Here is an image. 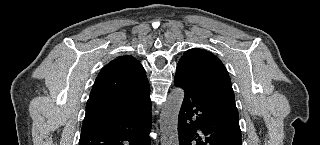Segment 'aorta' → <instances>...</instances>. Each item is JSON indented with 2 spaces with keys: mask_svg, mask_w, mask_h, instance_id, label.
I'll return each mask as SVG.
<instances>
[{
  "mask_svg": "<svg viewBox=\"0 0 320 145\" xmlns=\"http://www.w3.org/2000/svg\"><path fill=\"white\" fill-rule=\"evenodd\" d=\"M184 99V91L181 88H175L169 94L165 102L161 118V143L162 145H178V115Z\"/></svg>",
  "mask_w": 320,
  "mask_h": 145,
  "instance_id": "1",
  "label": "aorta"
}]
</instances>
